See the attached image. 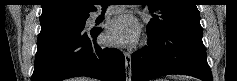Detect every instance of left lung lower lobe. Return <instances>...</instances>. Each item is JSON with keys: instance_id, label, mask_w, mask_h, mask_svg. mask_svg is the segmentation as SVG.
<instances>
[{"instance_id": "1", "label": "left lung lower lobe", "mask_w": 237, "mask_h": 81, "mask_svg": "<svg viewBox=\"0 0 237 81\" xmlns=\"http://www.w3.org/2000/svg\"><path fill=\"white\" fill-rule=\"evenodd\" d=\"M131 61L133 81H147L170 74L212 81L202 42V28H174L155 37L149 36L148 46L133 53Z\"/></svg>"}]
</instances>
